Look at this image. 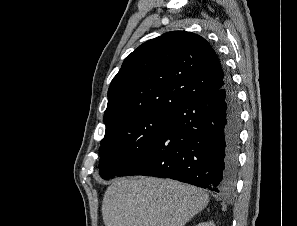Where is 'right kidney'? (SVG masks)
I'll use <instances>...</instances> for the list:
<instances>
[{"mask_svg":"<svg viewBox=\"0 0 297 226\" xmlns=\"http://www.w3.org/2000/svg\"><path fill=\"white\" fill-rule=\"evenodd\" d=\"M197 226H215L213 222H207V223H200Z\"/></svg>","mask_w":297,"mask_h":226,"instance_id":"ca27d5eb","label":"right kidney"}]
</instances>
